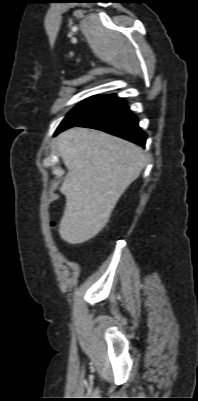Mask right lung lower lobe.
I'll use <instances>...</instances> for the list:
<instances>
[{
    "instance_id": "right-lung-lower-lobe-1",
    "label": "right lung lower lobe",
    "mask_w": 198,
    "mask_h": 401,
    "mask_svg": "<svg viewBox=\"0 0 198 401\" xmlns=\"http://www.w3.org/2000/svg\"><path fill=\"white\" fill-rule=\"evenodd\" d=\"M75 126L102 130L143 147L147 139L146 133L138 126V119L126 107L125 100L115 95L107 96L94 113Z\"/></svg>"
}]
</instances>
